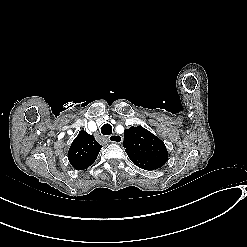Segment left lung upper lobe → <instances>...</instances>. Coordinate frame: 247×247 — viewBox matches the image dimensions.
<instances>
[{
  "mask_svg": "<svg viewBox=\"0 0 247 247\" xmlns=\"http://www.w3.org/2000/svg\"><path fill=\"white\" fill-rule=\"evenodd\" d=\"M123 146L130 160L144 170L158 169L168 160L164 142L142 126L125 130Z\"/></svg>",
  "mask_w": 247,
  "mask_h": 247,
  "instance_id": "left-lung-upper-lobe-1",
  "label": "left lung upper lobe"
}]
</instances>
